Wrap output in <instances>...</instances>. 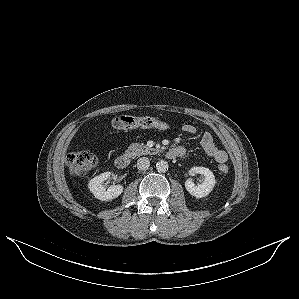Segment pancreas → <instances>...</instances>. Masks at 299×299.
<instances>
[{
    "instance_id": "obj_1",
    "label": "pancreas",
    "mask_w": 299,
    "mask_h": 299,
    "mask_svg": "<svg viewBox=\"0 0 299 299\" xmlns=\"http://www.w3.org/2000/svg\"><path fill=\"white\" fill-rule=\"evenodd\" d=\"M155 151V149L149 148L148 146L144 144H139V143H132L128 149H127V154H129L131 157H136L140 155H148L152 154Z\"/></svg>"
}]
</instances>
